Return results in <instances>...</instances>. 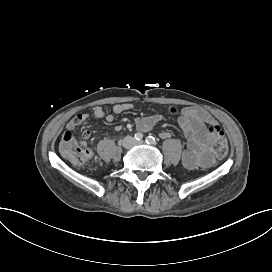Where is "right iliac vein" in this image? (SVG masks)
Here are the masks:
<instances>
[{"instance_id": "obj_1", "label": "right iliac vein", "mask_w": 272, "mask_h": 272, "mask_svg": "<svg viewBox=\"0 0 272 272\" xmlns=\"http://www.w3.org/2000/svg\"><path fill=\"white\" fill-rule=\"evenodd\" d=\"M133 140L131 138H125L124 141H123V146L125 148H130L132 145H133Z\"/></svg>"}]
</instances>
